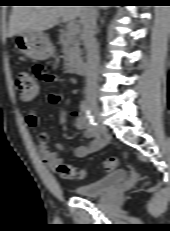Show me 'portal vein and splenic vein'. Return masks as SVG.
<instances>
[{"label": "portal vein and splenic vein", "mask_w": 170, "mask_h": 231, "mask_svg": "<svg viewBox=\"0 0 170 231\" xmlns=\"http://www.w3.org/2000/svg\"><path fill=\"white\" fill-rule=\"evenodd\" d=\"M68 31L71 34L76 35L79 32V26L75 23H69L68 24Z\"/></svg>", "instance_id": "obj_1"}]
</instances>
